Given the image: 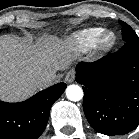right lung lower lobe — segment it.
I'll return each mask as SVG.
<instances>
[{"instance_id":"98d812e1","label":"right lung lower lobe","mask_w":139,"mask_h":139,"mask_svg":"<svg viewBox=\"0 0 139 139\" xmlns=\"http://www.w3.org/2000/svg\"><path fill=\"white\" fill-rule=\"evenodd\" d=\"M65 89V83H58L23 102L0 101V139H37L47 125L51 106Z\"/></svg>"}]
</instances>
